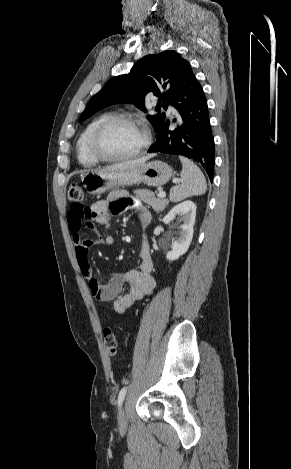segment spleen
I'll list each match as a JSON object with an SVG mask.
<instances>
[{
  "instance_id": "1",
  "label": "spleen",
  "mask_w": 291,
  "mask_h": 469,
  "mask_svg": "<svg viewBox=\"0 0 291 469\" xmlns=\"http://www.w3.org/2000/svg\"><path fill=\"white\" fill-rule=\"evenodd\" d=\"M183 168L181 171V185L170 190V200L179 202L190 196L202 195L207 190L206 180L201 170L189 159L180 157Z\"/></svg>"
}]
</instances>
